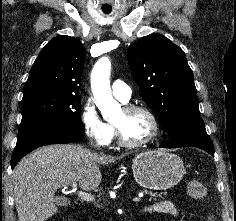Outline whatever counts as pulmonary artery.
Wrapping results in <instances>:
<instances>
[{
	"label": "pulmonary artery",
	"instance_id": "e3ab8cb5",
	"mask_svg": "<svg viewBox=\"0 0 236 221\" xmlns=\"http://www.w3.org/2000/svg\"><path fill=\"white\" fill-rule=\"evenodd\" d=\"M112 93L118 100L126 103L131 98L132 90L127 83L118 79L112 83Z\"/></svg>",
	"mask_w": 236,
	"mask_h": 221
}]
</instances>
